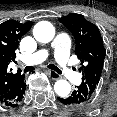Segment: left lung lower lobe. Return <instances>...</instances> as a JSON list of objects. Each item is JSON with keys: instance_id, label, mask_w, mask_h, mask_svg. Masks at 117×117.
<instances>
[{"instance_id": "left-lung-lower-lobe-1", "label": "left lung lower lobe", "mask_w": 117, "mask_h": 117, "mask_svg": "<svg viewBox=\"0 0 117 117\" xmlns=\"http://www.w3.org/2000/svg\"><path fill=\"white\" fill-rule=\"evenodd\" d=\"M90 98L89 91L80 85L70 96L58 98V100L67 106H79L88 102Z\"/></svg>"}]
</instances>
